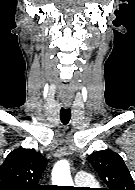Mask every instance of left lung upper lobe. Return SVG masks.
Masks as SVG:
<instances>
[{"instance_id": "obj_1", "label": "left lung upper lobe", "mask_w": 135, "mask_h": 190, "mask_svg": "<svg viewBox=\"0 0 135 190\" xmlns=\"http://www.w3.org/2000/svg\"><path fill=\"white\" fill-rule=\"evenodd\" d=\"M88 161L106 183L105 190H135V185L122 157L111 150L96 151Z\"/></svg>"}]
</instances>
